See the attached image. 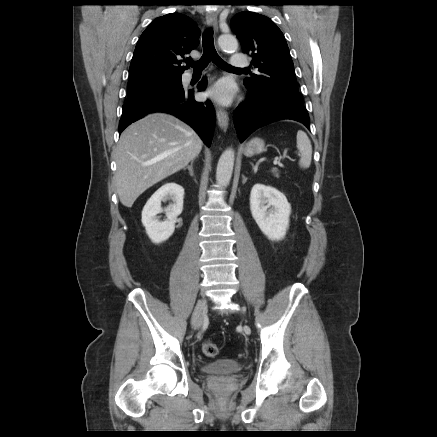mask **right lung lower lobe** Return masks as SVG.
Returning a JSON list of instances; mask_svg holds the SVG:
<instances>
[{
  "label": "right lung lower lobe",
  "instance_id": "obj_1",
  "mask_svg": "<svg viewBox=\"0 0 437 437\" xmlns=\"http://www.w3.org/2000/svg\"><path fill=\"white\" fill-rule=\"evenodd\" d=\"M206 82L205 78L199 82L197 86L199 91L204 90ZM151 112L173 114L193 127L208 147L211 145L215 127V110L210 101L196 102L192 90L179 87L127 100L123 104L119 133L130 123Z\"/></svg>",
  "mask_w": 437,
  "mask_h": 437
}]
</instances>
